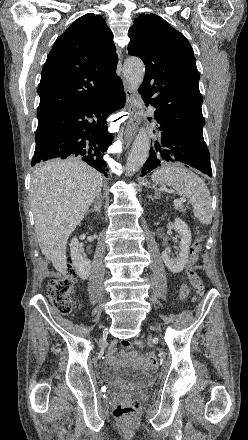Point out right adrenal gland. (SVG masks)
<instances>
[{"label":"right adrenal gland","instance_id":"obj_1","mask_svg":"<svg viewBox=\"0 0 248 440\" xmlns=\"http://www.w3.org/2000/svg\"><path fill=\"white\" fill-rule=\"evenodd\" d=\"M101 207H102V199H101V197H98L97 201L94 204V207L92 209L88 210V212L100 214L101 213Z\"/></svg>","mask_w":248,"mask_h":440}]
</instances>
